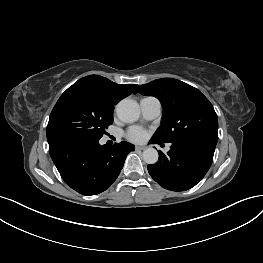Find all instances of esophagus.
Segmentation results:
<instances>
[{"label":"esophagus","mask_w":263,"mask_h":263,"mask_svg":"<svg viewBox=\"0 0 263 263\" xmlns=\"http://www.w3.org/2000/svg\"><path fill=\"white\" fill-rule=\"evenodd\" d=\"M135 149L141 151V150H145L146 147L145 146H136Z\"/></svg>","instance_id":"esophagus-1"}]
</instances>
